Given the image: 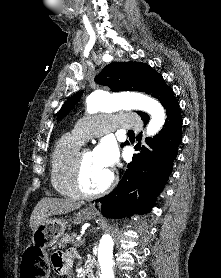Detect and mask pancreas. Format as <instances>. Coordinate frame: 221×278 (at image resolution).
Returning <instances> with one entry per match:
<instances>
[{"label":"pancreas","mask_w":221,"mask_h":278,"mask_svg":"<svg viewBox=\"0 0 221 278\" xmlns=\"http://www.w3.org/2000/svg\"><path fill=\"white\" fill-rule=\"evenodd\" d=\"M76 237V234H73V235H65L63 236L58 242H57V245L59 247H64L66 244L70 243V239H74ZM79 245V244H76V246Z\"/></svg>","instance_id":"cf45deb5"}]
</instances>
